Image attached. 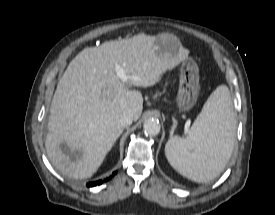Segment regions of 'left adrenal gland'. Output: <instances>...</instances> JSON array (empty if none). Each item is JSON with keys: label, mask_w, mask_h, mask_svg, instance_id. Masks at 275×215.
<instances>
[{"label": "left adrenal gland", "mask_w": 275, "mask_h": 215, "mask_svg": "<svg viewBox=\"0 0 275 215\" xmlns=\"http://www.w3.org/2000/svg\"><path fill=\"white\" fill-rule=\"evenodd\" d=\"M172 120H173V126H172V129H171V136L173 135L174 130H175L176 126H177L176 119L173 117Z\"/></svg>", "instance_id": "left-adrenal-gland-1"}]
</instances>
